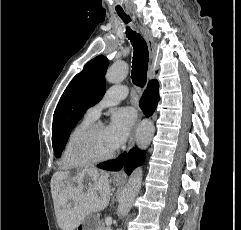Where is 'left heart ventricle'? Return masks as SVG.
Masks as SVG:
<instances>
[{
    "instance_id": "b2bd125f",
    "label": "left heart ventricle",
    "mask_w": 241,
    "mask_h": 230,
    "mask_svg": "<svg viewBox=\"0 0 241 230\" xmlns=\"http://www.w3.org/2000/svg\"><path fill=\"white\" fill-rule=\"evenodd\" d=\"M91 150L95 155H104L113 150L108 142L104 125L100 126L93 135Z\"/></svg>"
}]
</instances>
